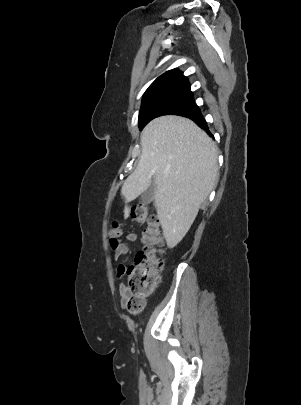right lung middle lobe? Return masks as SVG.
<instances>
[{"instance_id": "1", "label": "right lung middle lobe", "mask_w": 301, "mask_h": 405, "mask_svg": "<svg viewBox=\"0 0 301 405\" xmlns=\"http://www.w3.org/2000/svg\"><path fill=\"white\" fill-rule=\"evenodd\" d=\"M197 109L193 94L188 89L159 93L143 99L138 117L139 128L143 129L149 121L162 115H180Z\"/></svg>"}]
</instances>
